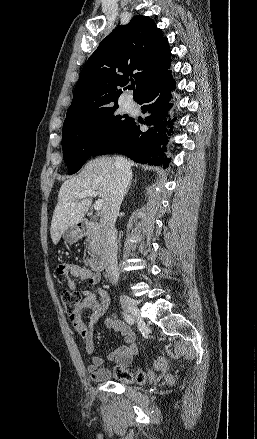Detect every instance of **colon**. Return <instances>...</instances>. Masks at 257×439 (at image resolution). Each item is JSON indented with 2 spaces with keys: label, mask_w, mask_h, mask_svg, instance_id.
<instances>
[{
  "label": "colon",
  "mask_w": 257,
  "mask_h": 439,
  "mask_svg": "<svg viewBox=\"0 0 257 439\" xmlns=\"http://www.w3.org/2000/svg\"><path fill=\"white\" fill-rule=\"evenodd\" d=\"M61 300L67 312L72 314L81 302L82 297L77 291L63 290L61 292ZM159 364L160 360L157 362V365ZM115 375L119 380L127 383L136 382L139 384H146L153 379V374L150 371L130 370L127 367L119 368L116 370Z\"/></svg>",
  "instance_id": "colon-1"
}]
</instances>
